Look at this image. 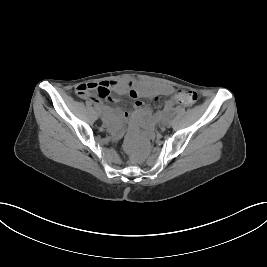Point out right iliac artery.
Returning <instances> with one entry per match:
<instances>
[{
    "label": "right iliac artery",
    "mask_w": 267,
    "mask_h": 267,
    "mask_svg": "<svg viewBox=\"0 0 267 267\" xmlns=\"http://www.w3.org/2000/svg\"><path fill=\"white\" fill-rule=\"evenodd\" d=\"M94 108L97 112L100 111V108L98 106H94Z\"/></svg>",
    "instance_id": "obj_1"
}]
</instances>
